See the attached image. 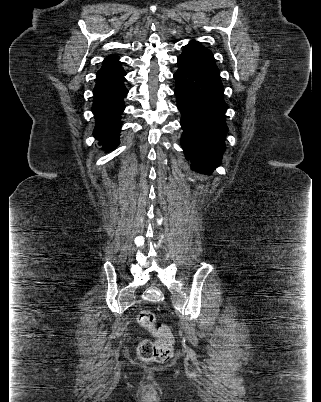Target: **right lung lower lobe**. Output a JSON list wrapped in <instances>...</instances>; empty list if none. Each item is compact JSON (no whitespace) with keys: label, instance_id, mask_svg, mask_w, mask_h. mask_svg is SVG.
Masks as SVG:
<instances>
[{"label":"right lung lower lobe","instance_id":"1","mask_svg":"<svg viewBox=\"0 0 321 402\" xmlns=\"http://www.w3.org/2000/svg\"><path fill=\"white\" fill-rule=\"evenodd\" d=\"M125 71L120 63H104L96 74L92 112L95 117L93 135L103 146L112 150L119 144L120 116L128 90L123 84Z\"/></svg>","mask_w":321,"mask_h":402}]
</instances>
